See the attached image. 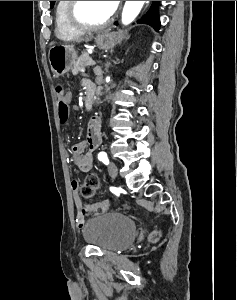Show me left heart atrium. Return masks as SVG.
Instances as JSON below:
<instances>
[{
    "label": "left heart atrium",
    "instance_id": "39dd6f15",
    "mask_svg": "<svg viewBox=\"0 0 237 300\" xmlns=\"http://www.w3.org/2000/svg\"><path fill=\"white\" fill-rule=\"evenodd\" d=\"M108 4L112 11L114 12L119 4V1H108Z\"/></svg>",
    "mask_w": 237,
    "mask_h": 300
}]
</instances>
